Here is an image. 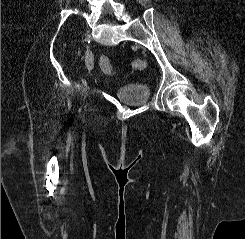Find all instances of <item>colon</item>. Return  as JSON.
I'll list each match as a JSON object with an SVG mask.
<instances>
[{
	"label": "colon",
	"instance_id": "1",
	"mask_svg": "<svg viewBox=\"0 0 245 239\" xmlns=\"http://www.w3.org/2000/svg\"><path fill=\"white\" fill-rule=\"evenodd\" d=\"M100 66L105 73L107 74L112 73V65L110 59L107 56H102L100 58Z\"/></svg>",
	"mask_w": 245,
	"mask_h": 239
}]
</instances>
